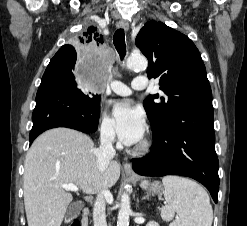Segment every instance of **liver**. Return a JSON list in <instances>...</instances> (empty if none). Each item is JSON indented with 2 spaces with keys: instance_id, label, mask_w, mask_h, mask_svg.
Here are the masks:
<instances>
[{
  "instance_id": "obj_1",
  "label": "liver",
  "mask_w": 247,
  "mask_h": 226,
  "mask_svg": "<svg viewBox=\"0 0 247 226\" xmlns=\"http://www.w3.org/2000/svg\"><path fill=\"white\" fill-rule=\"evenodd\" d=\"M96 148L87 135L69 128H54L31 145L24 162V204L28 226H60L72 195L61 187L73 183L85 194L111 188L120 165L111 161L98 168Z\"/></svg>"
}]
</instances>
